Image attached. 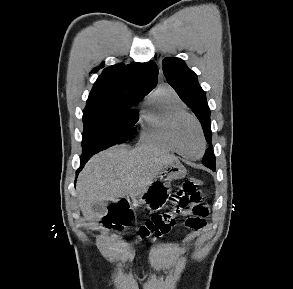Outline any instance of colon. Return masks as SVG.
Wrapping results in <instances>:
<instances>
[{
	"mask_svg": "<svg viewBox=\"0 0 293 289\" xmlns=\"http://www.w3.org/2000/svg\"><path fill=\"white\" fill-rule=\"evenodd\" d=\"M202 182L197 179H186L182 187L175 193L167 211L156 214L145 221L138 230L140 238H155L167 234L175 225L176 217L185 210H190L196 218H189L185 224L193 229L198 226L197 218L204 219L209 214L207 204L203 201L200 187ZM129 219L128 209L123 202L111 206L104 218L106 228L120 230Z\"/></svg>",
	"mask_w": 293,
	"mask_h": 289,
	"instance_id": "obj_1",
	"label": "colon"
}]
</instances>
